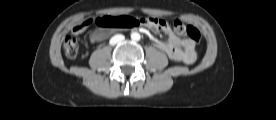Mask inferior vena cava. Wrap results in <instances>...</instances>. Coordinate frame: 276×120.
I'll return each mask as SVG.
<instances>
[{"mask_svg": "<svg viewBox=\"0 0 276 120\" xmlns=\"http://www.w3.org/2000/svg\"><path fill=\"white\" fill-rule=\"evenodd\" d=\"M125 39V37L123 36V35H120V34H118V35H115V36H113L111 39H110V45H115V44H117L118 42H120V41H123Z\"/></svg>", "mask_w": 276, "mask_h": 120, "instance_id": "602c4592", "label": "inferior vena cava"}]
</instances>
